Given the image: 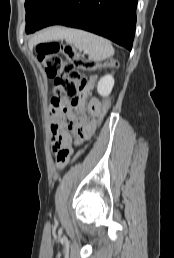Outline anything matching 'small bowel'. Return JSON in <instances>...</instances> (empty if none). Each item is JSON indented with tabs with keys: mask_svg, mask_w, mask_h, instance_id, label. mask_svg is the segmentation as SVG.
<instances>
[{
	"mask_svg": "<svg viewBox=\"0 0 174 258\" xmlns=\"http://www.w3.org/2000/svg\"><path fill=\"white\" fill-rule=\"evenodd\" d=\"M96 82V77L85 78L77 100L70 101L65 97L53 98L49 106L50 131L52 135V146L54 162L62 167L66 165L73 152V146L79 145L89 139L94 133V118H77L74 109L83 113L84 99L87 94H95L91 87ZM101 104L100 96H91L87 105V117H98ZM62 153H59V152Z\"/></svg>",
	"mask_w": 174,
	"mask_h": 258,
	"instance_id": "c3829d8e",
	"label": "small bowel"
}]
</instances>
